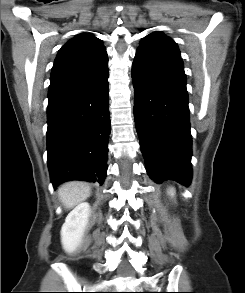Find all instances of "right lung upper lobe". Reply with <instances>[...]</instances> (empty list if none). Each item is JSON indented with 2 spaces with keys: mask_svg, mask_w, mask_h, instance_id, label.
Segmentation results:
<instances>
[{
  "mask_svg": "<svg viewBox=\"0 0 245 293\" xmlns=\"http://www.w3.org/2000/svg\"><path fill=\"white\" fill-rule=\"evenodd\" d=\"M108 70V56L101 40L81 33L68 41L55 59L48 98H55Z\"/></svg>",
  "mask_w": 245,
  "mask_h": 293,
  "instance_id": "obj_1",
  "label": "right lung upper lobe"
}]
</instances>
